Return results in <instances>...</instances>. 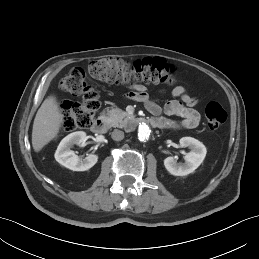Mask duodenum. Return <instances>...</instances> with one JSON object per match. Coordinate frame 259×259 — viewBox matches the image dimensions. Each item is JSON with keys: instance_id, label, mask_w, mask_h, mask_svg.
I'll return each mask as SVG.
<instances>
[{"instance_id": "1", "label": "duodenum", "mask_w": 259, "mask_h": 259, "mask_svg": "<svg viewBox=\"0 0 259 259\" xmlns=\"http://www.w3.org/2000/svg\"><path fill=\"white\" fill-rule=\"evenodd\" d=\"M144 122H147L148 124H150L153 127L156 128H164L165 123L161 118H156V117H152L147 121H144L143 119L137 117V116H133V124L135 126H139L141 124H143ZM107 130V121L105 118L103 117H99L97 118L93 124H92V131L96 134H104Z\"/></svg>"}]
</instances>
